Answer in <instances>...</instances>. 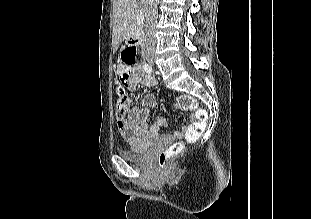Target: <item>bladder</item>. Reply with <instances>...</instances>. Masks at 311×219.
Here are the masks:
<instances>
[{"mask_svg": "<svg viewBox=\"0 0 311 219\" xmlns=\"http://www.w3.org/2000/svg\"><path fill=\"white\" fill-rule=\"evenodd\" d=\"M150 153L149 144H131L127 149H120L119 155L129 161L140 162Z\"/></svg>", "mask_w": 311, "mask_h": 219, "instance_id": "31cf9c89", "label": "bladder"}]
</instances>
